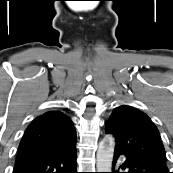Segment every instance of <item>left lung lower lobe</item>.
Segmentation results:
<instances>
[{
  "mask_svg": "<svg viewBox=\"0 0 173 173\" xmlns=\"http://www.w3.org/2000/svg\"><path fill=\"white\" fill-rule=\"evenodd\" d=\"M120 155H125L126 160L123 165L118 167L117 160ZM129 169L127 173H169L168 168L159 166L155 163L145 159L138 158L132 154H125L123 152H114L112 173H120L119 169Z\"/></svg>",
  "mask_w": 173,
  "mask_h": 173,
  "instance_id": "1",
  "label": "left lung lower lobe"
}]
</instances>
